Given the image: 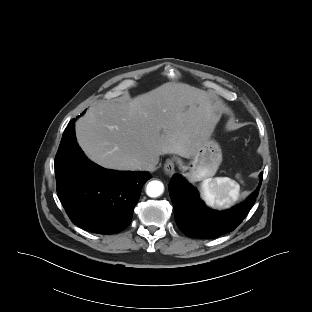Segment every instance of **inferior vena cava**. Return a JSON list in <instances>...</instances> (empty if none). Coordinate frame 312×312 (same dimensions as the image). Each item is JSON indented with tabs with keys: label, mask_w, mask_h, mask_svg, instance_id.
<instances>
[{
	"label": "inferior vena cava",
	"mask_w": 312,
	"mask_h": 312,
	"mask_svg": "<svg viewBox=\"0 0 312 312\" xmlns=\"http://www.w3.org/2000/svg\"><path fill=\"white\" fill-rule=\"evenodd\" d=\"M158 161L155 159H147L141 163L140 170L153 172L156 169Z\"/></svg>",
	"instance_id": "inferior-vena-cava-1"
}]
</instances>
